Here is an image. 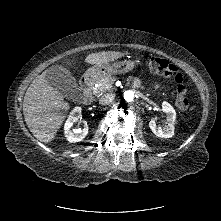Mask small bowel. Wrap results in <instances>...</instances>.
<instances>
[{"instance_id":"1","label":"small bowel","mask_w":221,"mask_h":221,"mask_svg":"<svg viewBox=\"0 0 221 221\" xmlns=\"http://www.w3.org/2000/svg\"><path fill=\"white\" fill-rule=\"evenodd\" d=\"M131 84L134 86V87H138L140 85V82L137 78H132L130 80Z\"/></svg>"}]
</instances>
